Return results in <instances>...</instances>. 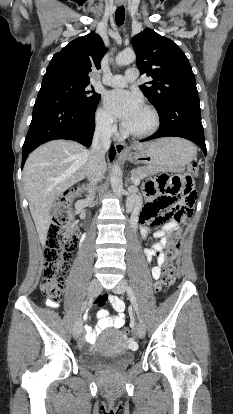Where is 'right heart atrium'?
Segmentation results:
<instances>
[{
    "label": "right heart atrium",
    "instance_id": "right-heart-atrium-1",
    "mask_svg": "<svg viewBox=\"0 0 233 414\" xmlns=\"http://www.w3.org/2000/svg\"><path fill=\"white\" fill-rule=\"evenodd\" d=\"M95 124L97 130L102 134L109 135L114 131V119L102 107H98L95 111Z\"/></svg>",
    "mask_w": 233,
    "mask_h": 414
}]
</instances>
